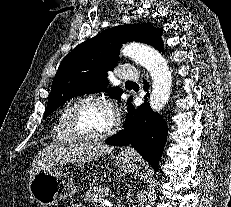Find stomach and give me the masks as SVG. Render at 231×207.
Returning <instances> with one entry per match:
<instances>
[{"instance_id": "1", "label": "stomach", "mask_w": 231, "mask_h": 207, "mask_svg": "<svg viewBox=\"0 0 231 207\" xmlns=\"http://www.w3.org/2000/svg\"><path fill=\"white\" fill-rule=\"evenodd\" d=\"M115 165L128 174L139 169L137 158L126 152L118 154ZM29 191L37 203L43 207H51L60 200L72 197L76 193V186L67 175L51 168L41 170L33 176L29 182Z\"/></svg>"}]
</instances>
